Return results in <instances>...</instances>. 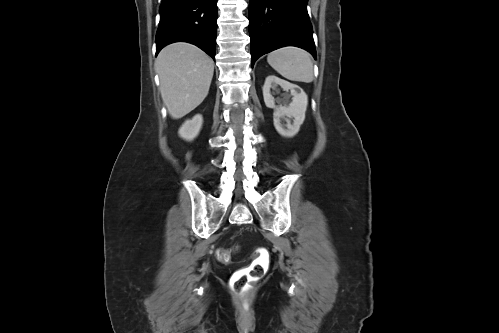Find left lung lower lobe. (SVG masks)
I'll return each mask as SVG.
<instances>
[{"mask_svg": "<svg viewBox=\"0 0 499 333\" xmlns=\"http://www.w3.org/2000/svg\"><path fill=\"white\" fill-rule=\"evenodd\" d=\"M308 0H250L251 65L262 55L284 46H297L316 58Z\"/></svg>", "mask_w": 499, "mask_h": 333, "instance_id": "1", "label": "left lung lower lobe"}]
</instances>
